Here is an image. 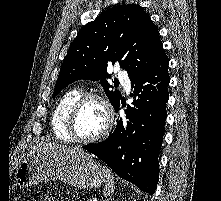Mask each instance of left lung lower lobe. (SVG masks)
Wrapping results in <instances>:
<instances>
[{
	"mask_svg": "<svg viewBox=\"0 0 221 201\" xmlns=\"http://www.w3.org/2000/svg\"><path fill=\"white\" fill-rule=\"evenodd\" d=\"M169 59L163 54L148 70L131 79L135 98L127 106L126 120L120 119L115 131L97 144L83 148L103 160L121 178L135 184L141 191L153 194L159 178L165 110L169 95ZM120 101L114 106L116 112Z\"/></svg>",
	"mask_w": 221,
	"mask_h": 201,
	"instance_id": "0a47b994",
	"label": "left lung lower lobe"
}]
</instances>
